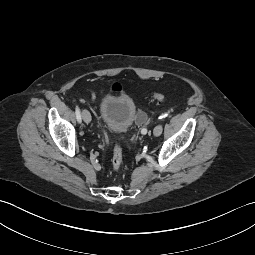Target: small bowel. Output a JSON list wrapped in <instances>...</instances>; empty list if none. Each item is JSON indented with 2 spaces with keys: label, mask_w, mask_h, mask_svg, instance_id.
I'll use <instances>...</instances> for the list:
<instances>
[{
  "label": "small bowel",
  "mask_w": 255,
  "mask_h": 255,
  "mask_svg": "<svg viewBox=\"0 0 255 255\" xmlns=\"http://www.w3.org/2000/svg\"><path fill=\"white\" fill-rule=\"evenodd\" d=\"M89 94L92 100L96 99V94L94 92H90Z\"/></svg>",
  "instance_id": "small-bowel-1"
}]
</instances>
